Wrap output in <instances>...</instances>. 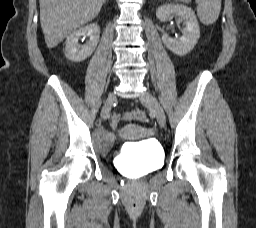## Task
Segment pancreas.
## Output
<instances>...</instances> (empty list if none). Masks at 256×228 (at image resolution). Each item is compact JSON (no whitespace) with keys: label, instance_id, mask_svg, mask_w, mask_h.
I'll use <instances>...</instances> for the list:
<instances>
[{"label":"pancreas","instance_id":"cf45deb5","mask_svg":"<svg viewBox=\"0 0 256 228\" xmlns=\"http://www.w3.org/2000/svg\"><path fill=\"white\" fill-rule=\"evenodd\" d=\"M183 1L184 3H190L191 0H181Z\"/></svg>","mask_w":256,"mask_h":228}]
</instances>
